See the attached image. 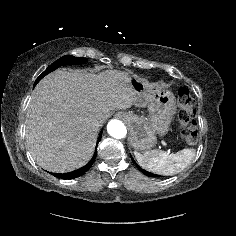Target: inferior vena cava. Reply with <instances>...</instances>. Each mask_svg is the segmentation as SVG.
Returning <instances> with one entry per match:
<instances>
[{"label": "inferior vena cava", "instance_id": "obj_1", "mask_svg": "<svg viewBox=\"0 0 236 236\" xmlns=\"http://www.w3.org/2000/svg\"><path fill=\"white\" fill-rule=\"evenodd\" d=\"M92 126L95 127V128H99L100 122L99 121H94V122H92Z\"/></svg>", "mask_w": 236, "mask_h": 236}]
</instances>
